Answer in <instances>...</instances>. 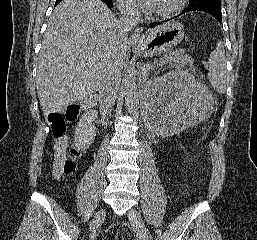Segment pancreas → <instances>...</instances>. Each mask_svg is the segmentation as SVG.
<instances>
[{
    "label": "pancreas",
    "mask_w": 257,
    "mask_h": 240,
    "mask_svg": "<svg viewBox=\"0 0 257 240\" xmlns=\"http://www.w3.org/2000/svg\"><path fill=\"white\" fill-rule=\"evenodd\" d=\"M193 63L194 60L190 56L185 54L184 50H174L169 52L159 60H156L153 64H151V69H158L160 66L164 64H170L173 66H177L179 64L192 66Z\"/></svg>",
    "instance_id": "pancreas-1"
}]
</instances>
